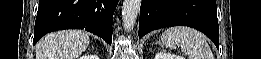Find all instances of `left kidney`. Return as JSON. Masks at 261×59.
<instances>
[{"instance_id":"obj_1","label":"left kidney","mask_w":261,"mask_h":59,"mask_svg":"<svg viewBox=\"0 0 261 59\" xmlns=\"http://www.w3.org/2000/svg\"><path fill=\"white\" fill-rule=\"evenodd\" d=\"M155 59H184L182 56H177L171 53L158 52L155 55Z\"/></svg>"}]
</instances>
